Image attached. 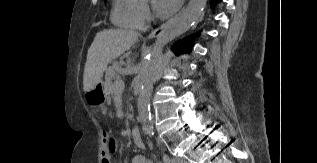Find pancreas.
Returning a JSON list of instances; mask_svg holds the SVG:
<instances>
[{"instance_id": "pancreas-1", "label": "pancreas", "mask_w": 317, "mask_h": 163, "mask_svg": "<svg viewBox=\"0 0 317 163\" xmlns=\"http://www.w3.org/2000/svg\"><path fill=\"white\" fill-rule=\"evenodd\" d=\"M117 67L118 63L113 62L112 66H110L105 73V90L108 94H114L116 92L114 83L112 80L117 78Z\"/></svg>"}]
</instances>
